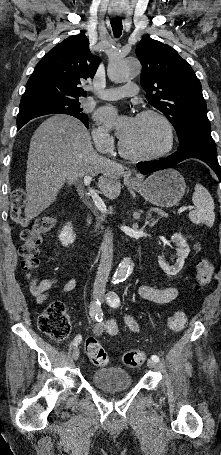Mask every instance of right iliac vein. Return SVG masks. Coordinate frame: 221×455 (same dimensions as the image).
I'll use <instances>...</instances> for the list:
<instances>
[{
	"label": "right iliac vein",
	"instance_id": "right-iliac-vein-1",
	"mask_svg": "<svg viewBox=\"0 0 221 455\" xmlns=\"http://www.w3.org/2000/svg\"><path fill=\"white\" fill-rule=\"evenodd\" d=\"M96 299H102L101 296H97ZM79 355H80V351H79V348L78 347H75L73 352H72V359L73 360H77L79 358Z\"/></svg>",
	"mask_w": 221,
	"mask_h": 455
}]
</instances>
